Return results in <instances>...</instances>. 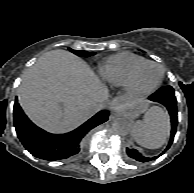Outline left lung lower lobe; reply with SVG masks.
<instances>
[{"instance_id": "0a47b994", "label": "left lung lower lobe", "mask_w": 194, "mask_h": 193, "mask_svg": "<svg viewBox=\"0 0 194 193\" xmlns=\"http://www.w3.org/2000/svg\"><path fill=\"white\" fill-rule=\"evenodd\" d=\"M149 99L154 101V102H158V103L164 105L170 114L172 130H171L170 141H169L166 149L164 150V152H165L171 146L173 139H174V136L176 134V130H177V123H178V120H177V101H176V97L174 95V89L171 86H165V87L159 89L153 95H151L149 97ZM126 152L130 158H132L136 161H140V162H147V161H150L152 159H156L158 157V156L153 157V158L144 157L137 150L131 149V148H127Z\"/></svg>"}]
</instances>
